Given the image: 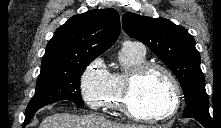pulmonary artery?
I'll return each instance as SVG.
<instances>
[{
  "label": "pulmonary artery",
  "instance_id": "pulmonary-artery-1",
  "mask_svg": "<svg viewBox=\"0 0 221 128\" xmlns=\"http://www.w3.org/2000/svg\"><path fill=\"white\" fill-rule=\"evenodd\" d=\"M124 45H130V46L135 47L136 49H138L141 52H145L144 45L142 43L138 42V41H134V42L127 41V42H125Z\"/></svg>",
  "mask_w": 221,
  "mask_h": 128
}]
</instances>
